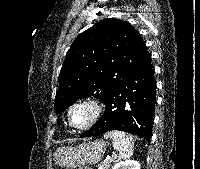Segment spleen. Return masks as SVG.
Returning a JSON list of instances; mask_svg holds the SVG:
<instances>
[{
  "label": "spleen",
  "mask_w": 200,
  "mask_h": 169,
  "mask_svg": "<svg viewBox=\"0 0 200 169\" xmlns=\"http://www.w3.org/2000/svg\"><path fill=\"white\" fill-rule=\"evenodd\" d=\"M105 138H111L113 148L119 152V159L130 158L133 155V137L122 131H109L104 134Z\"/></svg>",
  "instance_id": "obj_1"
}]
</instances>
